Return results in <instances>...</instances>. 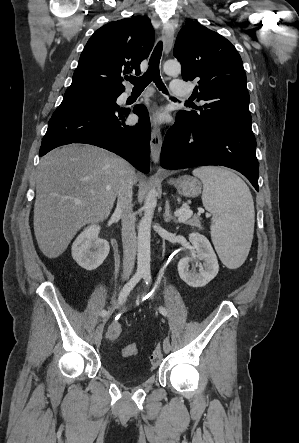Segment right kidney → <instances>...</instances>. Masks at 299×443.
<instances>
[{"label":"right kidney","mask_w":299,"mask_h":443,"mask_svg":"<svg viewBox=\"0 0 299 443\" xmlns=\"http://www.w3.org/2000/svg\"><path fill=\"white\" fill-rule=\"evenodd\" d=\"M99 232V225L92 224L85 228L72 244L73 259L88 271L99 267L109 254V243L98 237Z\"/></svg>","instance_id":"1"}]
</instances>
